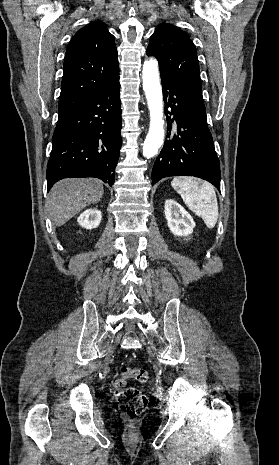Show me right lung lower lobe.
Returning <instances> with one entry per match:
<instances>
[{
  "mask_svg": "<svg viewBox=\"0 0 279 465\" xmlns=\"http://www.w3.org/2000/svg\"><path fill=\"white\" fill-rule=\"evenodd\" d=\"M119 77L58 119L47 165L48 190L69 177H96L113 185L121 138Z\"/></svg>",
  "mask_w": 279,
  "mask_h": 465,
  "instance_id": "1",
  "label": "right lung lower lobe"
}]
</instances>
